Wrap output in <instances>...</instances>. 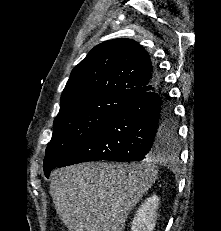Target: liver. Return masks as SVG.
Here are the masks:
<instances>
[{"instance_id": "6515ba94", "label": "liver", "mask_w": 221, "mask_h": 231, "mask_svg": "<svg viewBox=\"0 0 221 231\" xmlns=\"http://www.w3.org/2000/svg\"><path fill=\"white\" fill-rule=\"evenodd\" d=\"M167 159L163 154L158 160ZM151 162H89L54 170L50 194L59 217L69 231H123L129 212L157 179Z\"/></svg>"}]
</instances>
